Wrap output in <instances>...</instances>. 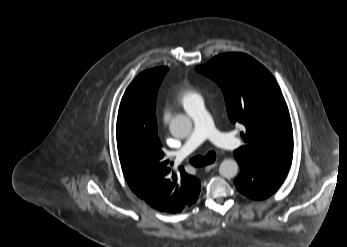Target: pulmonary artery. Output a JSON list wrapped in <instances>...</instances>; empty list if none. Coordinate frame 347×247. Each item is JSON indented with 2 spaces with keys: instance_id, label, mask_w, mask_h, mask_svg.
<instances>
[{
  "instance_id": "e3ab8cb5",
  "label": "pulmonary artery",
  "mask_w": 347,
  "mask_h": 247,
  "mask_svg": "<svg viewBox=\"0 0 347 247\" xmlns=\"http://www.w3.org/2000/svg\"><path fill=\"white\" fill-rule=\"evenodd\" d=\"M185 110L194 122V129L181 149L176 153L178 159L188 156L205 140H210L218 147L224 149H235L240 145L238 138L227 133L219 132L215 128L201 97L193 100Z\"/></svg>"
}]
</instances>
